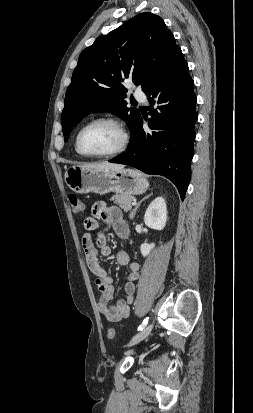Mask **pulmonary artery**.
Wrapping results in <instances>:
<instances>
[{
    "instance_id": "obj_1",
    "label": "pulmonary artery",
    "mask_w": 253,
    "mask_h": 413,
    "mask_svg": "<svg viewBox=\"0 0 253 413\" xmlns=\"http://www.w3.org/2000/svg\"><path fill=\"white\" fill-rule=\"evenodd\" d=\"M134 96H135L138 100H140V101H142V102H145V101H146V95H145L144 92H143L142 90H140V89H136V90H135Z\"/></svg>"
}]
</instances>
